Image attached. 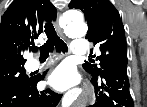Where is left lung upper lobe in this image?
Instances as JSON below:
<instances>
[{
    "label": "left lung upper lobe",
    "mask_w": 147,
    "mask_h": 107,
    "mask_svg": "<svg viewBox=\"0 0 147 107\" xmlns=\"http://www.w3.org/2000/svg\"><path fill=\"white\" fill-rule=\"evenodd\" d=\"M69 8L80 9L88 21L86 39L98 45L101 55L95 62L83 64L93 76L114 65H127V48L122 19L109 0H72Z\"/></svg>",
    "instance_id": "1"
}]
</instances>
